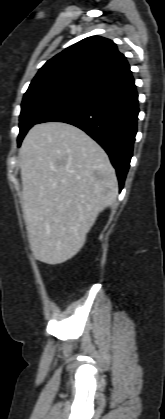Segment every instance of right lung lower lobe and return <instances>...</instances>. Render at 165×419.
Wrapping results in <instances>:
<instances>
[{
	"instance_id": "right-lung-lower-lobe-1",
	"label": "right lung lower lobe",
	"mask_w": 165,
	"mask_h": 419,
	"mask_svg": "<svg viewBox=\"0 0 165 419\" xmlns=\"http://www.w3.org/2000/svg\"><path fill=\"white\" fill-rule=\"evenodd\" d=\"M138 113V94L130 73L54 109L37 124L59 121L85 131L109 155L122 190L132 157Z\"/></svg>"
}]
</instances>
